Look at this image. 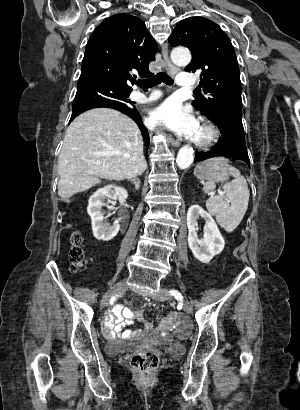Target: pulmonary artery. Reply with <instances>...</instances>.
Instances as JSON below:
<instances>
[{"instance_id":"e3ab8cb5","label":"pulmonary artery","mask_w":300,"mask_h":410,"mask_svg":"<svg viewBox=\"0 0 300 410\" xmlns=\"http://www.w3.org/2000/svg\"><path fill=\"white\" fill-rule=\"evenodd\" d=\"M197 83V78L190 73H180L177 78V84L181 87H194ZM159 92H151L148 95H144L141 92L135 91L132 93L131 98L138 103H148L156 100L160 97Z\"/></svg>"}]
</instances>
